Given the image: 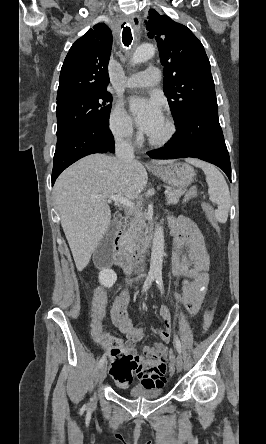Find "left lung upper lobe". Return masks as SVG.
Masks as SVG:
<instances>
[{"label": "left lung upper lobe", "mask_w": 266, "mask_h": 444, "mask_svg": "<svg viewBox=\"0 0 266 444\" xmlns=\"http://www.w3.org/2000/svg\"><path fill=\"white\" fill-rule=\"evenodd\" d=\"M148 18V36L158 44L163 89L175 123L195 108L217 106L210 62L201 42L186 26L154 9Z\"/></svg>", "instance_id": "left-lung-upper-lobe-1"}]
</instances>
